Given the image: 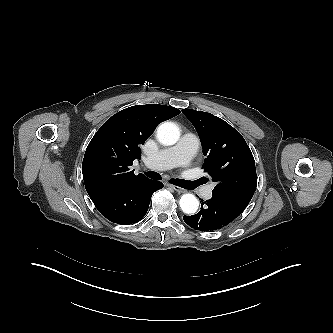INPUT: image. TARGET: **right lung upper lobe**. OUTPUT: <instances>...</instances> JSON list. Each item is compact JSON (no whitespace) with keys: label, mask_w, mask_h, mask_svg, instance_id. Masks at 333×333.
Masks as SVG:
<instances>
[{"label":"right lung upper lobe","mask_w":333,"mask_h":333,"mask_svg":"<svg viewBox=\"0 0 333 333\" xmlns=\"http://www.w3.org/2000/svg\"><path fill=\"white\" fill-rule=\"evenodd\" d=\"M180 111L147 104L126 108L108 119L90 141L82 163L85 188L93 203L147 179L130 167L156 126Z\"/></svg>","instance_id":"cb5924a9"}]
</instances>
